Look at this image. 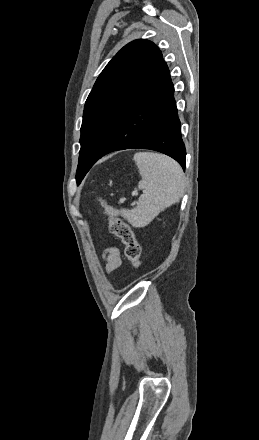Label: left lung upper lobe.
I'll use <instances>...</instances> for the list:
<instances>
[{
	"instance_id": "obj_1",
	"label": "left lung upper lobe",
	"mask_w": 259,
	"mask_h": 440,
	"mask_svg": "<svg viewBox=\"0 0 259 440\" xmlns=\"http://www.w3.org/2000/svg\"><path fill=\"white\" fill-rule=\"evenodd\" d=\"M161 58L153 42L139 39L124 46L101 72L84 107L77 184L146 88Z\"/></svg>"
}]
</instances>
